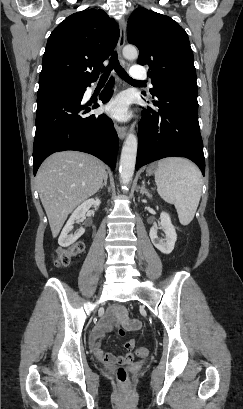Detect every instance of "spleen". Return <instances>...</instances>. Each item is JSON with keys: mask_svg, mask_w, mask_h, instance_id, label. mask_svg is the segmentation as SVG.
<instances>
[{"mask_svg": "<svg viewBox=\"0 0 243 409\" xmlns=\"http://www.w3.org/2000/svg\"><path fill=\"white\" fill-rule=\"evenodd\" d=\"M155 183L161 198L174 204L180 223L188 225L194 218L202 191V175L197 166L183 158L162 159L155 172Z\"/></svg>", "mask_w": 243, "mask_h": 409, "instance_id": "1", "label": "spleen"}]
</instances>
